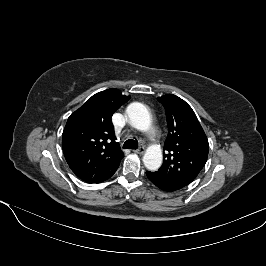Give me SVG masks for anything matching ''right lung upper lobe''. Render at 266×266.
Masks as SVG:
<instances>
[{
	"instance_id": "1",
	"label": "right lung upper lobe",
	"mask_w": 266,
	"mask_h": 266,
	"mask_svg": "<svg viewBox=\"0 0 266 266\" xmlns=\"http://www.w3.org/2000/svg\"><path fill=\"white\" fill-rule=\"evenodd\" d=\"M129 96L115 88L99 92L72 113L62 134V148L71 170L87 183L110 178L123 158L111 117Z\"/></svg>"
}]
</instances>
